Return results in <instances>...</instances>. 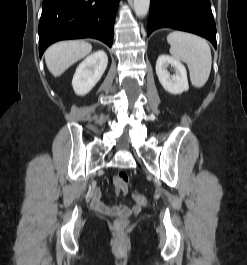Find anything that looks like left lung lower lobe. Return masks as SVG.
I'll return each mask as SVG.
<instances>
[{
  "label": "left lung lower lobe",
  "instance_id": "1",
  "mask_svg": "<svg viewBox=\"0 0 247 265\" xmlns=\"http://www.w3.org/2000/svg\"><path fill=\"white\" fill-rule=\"evenodd\" d=\"M164 27L200 35L216 48V26L210 0H151L148 36Z\"/></svg>",
  "mask_w": 247,
  "mask_h": 265
}]
</instances>
